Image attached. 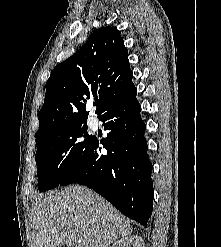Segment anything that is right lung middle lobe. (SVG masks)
Wrapping results in <instances>:
<instances>
[{
    "label": "right lung middle lobe",
    "instance_id": "right-lung-middle-lobe-1",
    "mask_svg": "<svg viewBox=\"0 0 221 247\" xmlns=\"http://www.w3.org/2000/svg\"><path fill=\"white\" fill-rule=\"evenodd\" d=\"M86 121L62 125L36 137L38 190L57 187L91 141Z\"/></svg>",
    "mask_w": 221,
    "mask_h": 247
}]
</instances>
